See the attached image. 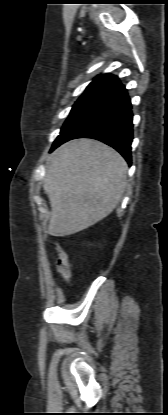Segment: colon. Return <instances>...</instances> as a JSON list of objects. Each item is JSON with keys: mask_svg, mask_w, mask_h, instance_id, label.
I'll use <instances>...</instances> for the list:
<instances>
[{"mask_svg": "<svg viewBox=\"0 0 168 415\" xmlns=\"http://www.w3.org/2000/svg\"><path fill=\"white\" fill-rule=\"evenodd\" d=\"M58 250V261H57V272L61 276L64 282H67L70 277V267L68 263V256L65 250L61 246H57Z\"/></svg>", "mask_w": 168, "mask_h": 415, "instance_id": "1", "label": "colon"}]
</instances>
